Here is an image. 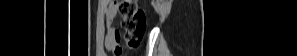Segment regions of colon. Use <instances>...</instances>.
Segmentation results:
<instances>
[{
  "label": "colon",
  "mask_w": 297,
  "mask_h": 56,
  "mask_svg": "<svg viewBox=\"0 0 297 56\" xmlns=\"http://www.w3.org/2000/svg\"><path fill=\"white\" fill-rule=\"evenodd\" d=\"M121 16V26L125 31V42L130 48H137L146 30V17L135 0H122L114 3ZM121 54V50L115 53Z\"/></svg>",
  "instance_id": "obj_1"
}]
</instances>
